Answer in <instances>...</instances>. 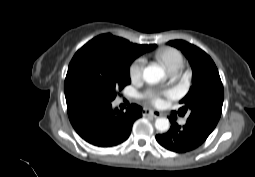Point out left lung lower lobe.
<instances>
[{
    "label": "left lung lower lobe",
    "mask_w": 255,
    "mask_h": 177,
    "mask_svg": "<svg viewBox=\"0 0 255 177\" xmlns=\"http://www.w3.org/2000/svg\"><path fill=\"white\" fill-rule=\"evenodd\" d=\"M171 123L170 130L156 135V140L164 148L177 153H185L199 147L213 131L188 121L182 127Z\"/></svg>",
    "instance_id": "0a47b994"
}]
</instances>
